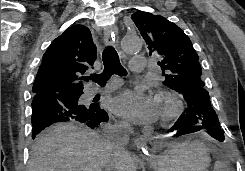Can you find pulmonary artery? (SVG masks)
I'll use <instances>...</instances> for the list:
<instances>
[{
	"instance_id": "1",
	"label": "pulmonary artery",
	"mask_w": 245,
	"mask_h": 171,
	"mask_svg": "<svg viewBox=\"0 0 245 171\" xmlns=\"http://www.w3.org/2000/svg\"><path fill=\"white\" fill-rule=\"evenodd\" d=\"M130 68L133 72H143L144 68H145V58L142 56H134L132 58V61L130 63ZM118 87V83H112L110 85H108L107 87H105L103 90H101L102 92H108V91H112L114 89H116ZM98 92L97 89H91L89 91V95H94Z\"/></svg>"
}]
</instances>
